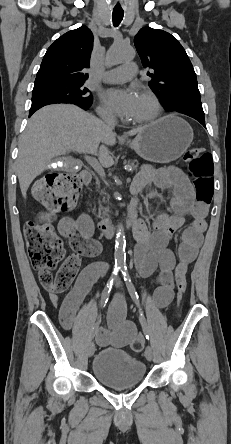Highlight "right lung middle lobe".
I'll list each match as a JSON object with an SVG mask.
<instances>
[{
	"instance_id": "right-lung-middle-lobe-1",
	"label": "right lung middle lobe",
	"mask_w": 231,
	"mask_h": 444,
	"mask_svg": "<svg viewBox=\"0 0 231 444\" xmlns=\"http://www.w3.org/2000/svg\"><path fill=\"white\" fill-rule=\"evenodd\" d=\"M52 103H73L90 106L92 95L82 83H52L34 87L32 106Z\"/></svg>"
}]
</instances>
